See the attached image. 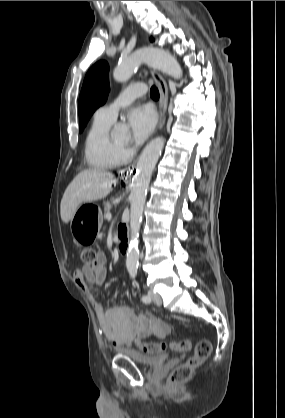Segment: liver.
I'll return each instance as SVG.
<instances>
[{"instance_id":"1","label":"liver","mask_w":285,"mask_h":418,"mask_svg":"<svg viewBox=\"0 0 285 418\" xmlns=\"http://www.w3.org/2000/svg\"><path fill=\"white\" fill-rule=\"evenodd\" d=\"M116 182L108 171L91 168L80 172L64 192L60 205L61 219L68 223L82 203L105 198Z\"/></svg>"}]
</instances>
